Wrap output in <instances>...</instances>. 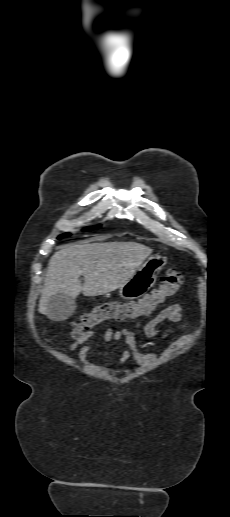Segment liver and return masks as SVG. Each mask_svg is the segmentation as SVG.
Masks as SVG:
<instances>
[{
    "label": "liver",
    "instance_id": "liver-1",
    "mask_svg": "<svg viewBox=\"0 0 230 517\" xmlns=\"http://www.w3.org/2000/svg\"><path fill=\"white\" fill-rule=\"evenodd\" d=\"M151 253V248L135 242L64 246L49 260L39 312L47 315V303L58 293L74 300L80 292L98 296L116 290L131 279ZM81 275L83 285L79 280Z\"/></svg>",
    "mask_w": 230,
    "mask_h": 517
}]
</instances>
